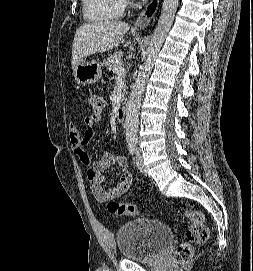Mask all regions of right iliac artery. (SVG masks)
Listing matches in <instances>:
<instances>
[{"mask_svg": "<svg viewBox=\"0 0 253 271\" xmlns=\"http://www.w3.org/2000/svg\"><path fill=\"white\" fill-rule=\"evenodd\" d=\"M135 145H136V143L133 141L128 142V148H129V152L131 155H133L135 153Z\"/></svg>", "mask_w": 253, "mask_h": 271, "instance_id": "obj_1", "label": "right iliac artery"}]
</instances>
